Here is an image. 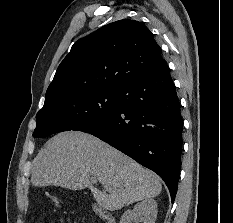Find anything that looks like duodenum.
Masks as SVG:
<instances>
[{
	"mask_svg": "<svg viewBox=\"0 0 233 223\" xmlns=\"http://www.w3.org/2000/svg\"><path fill=\"white\" fill-rule=\"evenodd\" d=\"M92 209L95 212V214L101 218L102 220H104L106 223H115V219L112 216V214H110L108 211H106L103 207H101L98 204H93L92 205Z\"/></svg>",
	"mask_w": 233,
	"mask_h": 223,
	"instance_id": "duodenum-1",
	"label": "duodenum"
}]
</instances>
